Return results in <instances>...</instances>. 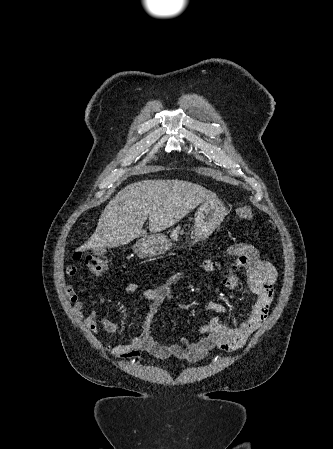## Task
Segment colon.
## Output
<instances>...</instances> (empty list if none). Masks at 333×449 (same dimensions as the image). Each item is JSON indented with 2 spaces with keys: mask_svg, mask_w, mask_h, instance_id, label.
<instances>
[{
  "mask_svg": "<svg viewBox=\"0 0 333 449\" xmlns=\"http://www.w3.org/2000/svg\"><path fill=\"white\" fill-rule=\"evenodd\" d=\"M236 213L242 220L251 221L253 219V212L248 206L239 207ZM73 259L82 260L88 271L95 275L104 273L107 265V258L104 255H94L90 253L82 254L80 252H75L73 254Z\"/></svg>",
  "mask_w": 333,
  "mask_h": 449,
  "instance_id": "colon-1",
  "label": "colon"
}]
</instances>
